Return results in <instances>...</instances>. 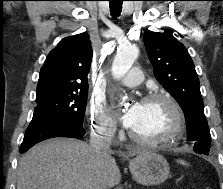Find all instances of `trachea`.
I'll list each match as a JSON object with an SVG mask.
<instances>
[{"label": "trachea", "instance_id": "3493384b", "mask_svg": "<svg viewBox=\"0 0 223 189\" xmlns=\"http://www.w3.org/2000/svg\"><path fill=\"white\" fill-rule=\"evenodd\" d=\"M123 0H109L110 11L113 17L121 14Z\"/></svg>", "mask_w": 223, "mask_h": 189}]
</instances>
